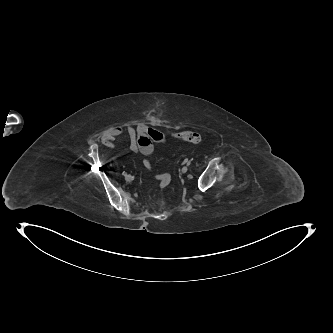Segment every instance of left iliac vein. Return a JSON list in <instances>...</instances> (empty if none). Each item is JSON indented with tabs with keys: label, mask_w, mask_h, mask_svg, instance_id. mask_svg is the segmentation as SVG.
<instances>
[{
	"label": "left iliac vein",
	"mask_w": 333,
	"mask_h": 333,
	"mask_svg": "<svg viewBox=\"0 0 333 333\" xmlns=\"http://www.w3.org/2000/svg\"><path fill=\"white\" fill-rule=\"evenodd\" d=\"M188 170V167L187 166H184L182 169H181V173H186Z\"/></svg>",
	"instance_id": "obj_1"
}]
</instances>
